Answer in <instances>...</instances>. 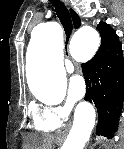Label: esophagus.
Segmentation results:
<instances>
[{"mask_svg": "<svg viewBox=\"0 0 124 149\" xmlns=\"http://www.w3.org/2000/svg\"><path fill=\"white\" fill-rule=\"evenodd\" d=\"M68 129H69V126L66 127V128H62V129L60 130V134H66L67 131H68Z\"/></svg>", "mask_w": 124, "mask_h": 149, "instance_id": "34e87169", "label": "esophagus"}]
</instances>
